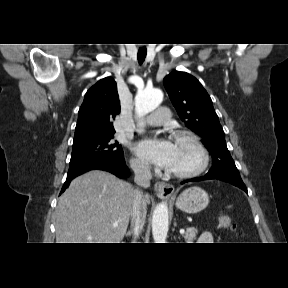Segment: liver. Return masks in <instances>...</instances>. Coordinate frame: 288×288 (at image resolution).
<instances>
[{
	"mask_svg": "<svg viewBox=\"0 0 288 288\" xmlns=\"http://www.w3.org/2000/svg\"><path fill=\"white\" fill-rule=\"evenodd\" d=\"M134 194L130 183L105 171L75 178L55 210L57 243H120L132 215ZM144 198L149 204V196Z\"/></svg>",
	"mask_w": 288,
	"mask_h": 288,
	"instance_id": "6515ba94",
	"label": "liver"
}]
</instances>
